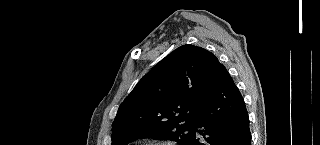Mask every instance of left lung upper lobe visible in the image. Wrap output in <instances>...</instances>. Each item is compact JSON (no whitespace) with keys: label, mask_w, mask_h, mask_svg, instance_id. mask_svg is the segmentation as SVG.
I'll list each match as a JSON object with an SVG mask.
<instances>
[{"label":"left lung upper lobe","mask_w":320,"mask_h":145,"mask_svg":"<svg viewBox=\"0 0 320 145\" xmlns=\"http://www.w3.org/2000/svg\"><path fill=\"white\" fill-rule=\"evenodd\" d=\"M208 50L183 45L157 63L120 105L112 145L149 137L187 145L204 103V83L218 63Z\"/></svg>","instance_id":"1"}]
</instances>
